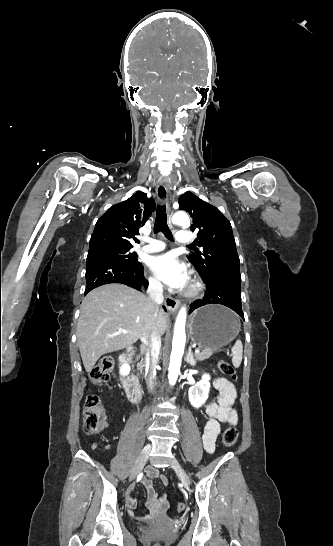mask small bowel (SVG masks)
Wrapping results in <instances>:
<instances>
[{"label":"small bowel","mask_w":333,"mask_h":546,"mask_svg":"<svg viewBox=\"0 0 333 546\" xmlns=\"http://www.w3.org/2000/svg\"><path fill=\"white\" fill-rule=\"evenodd\" d=\"M212 387L218 391L219 396L216 402H212L206 407V414L209 420L205 425L202 444L207 453H213L216 446V439L220 433L221 423L234 426L237 424L238 416L234 409L236 399V390L234 385L223 377H214L211 379ZM158 476V471L155 467H150L146 476L143 479L147 498L149 515L145 518L149 519L153 516L164 512L168 507V499L165 494H158L152 484V479ZM164 484H167V477L160 476ZM136 500L130 495L126 498V506L130 515L134 516L133 510L136 507Z\"/></svg>","instance_id":"obj_1"}]
</instances>
